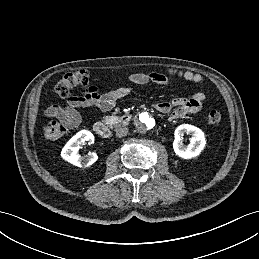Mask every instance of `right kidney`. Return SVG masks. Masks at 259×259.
<instances>
[{
    "label": "right kidney",
    "instance_id": "obj_1",
    "mask_svg": "<svg viewBox=\"0 0 259 259\" xmlns=\"http://www.w3.org/2000/svg\"><path fill=\"white\" fill-rule=\"evenodd\" d=\"M84 142H88V144L94 143V136L88 130L79 131L66 143L61 151L62 158L78 167H87L95 163L98 159L96 153L89 152L84 156L78 153L80 144Z\"/></svg>",
    "mask_w": 259,
    "mask_h": 259
}]
</instances>
